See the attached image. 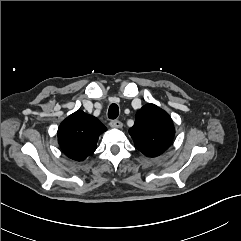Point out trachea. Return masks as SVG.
<instances>
[{
  "label": "trachea",
  "mask_w": 241,
  "mask_h": 241,
  "mask_svg": "<svg viewBox=\"0 0 241 241\" xmlns=\"http://www.w3.org/2000/svg\"><path fill=\"white\" fill-rule=\"evenodd\" d=\"M119 115V108L117 104L113 103L110 105L109 110H108V117L109 119H116Z\"/></svg>",
  "instance_id": "obj_1"
}]
</instances>
